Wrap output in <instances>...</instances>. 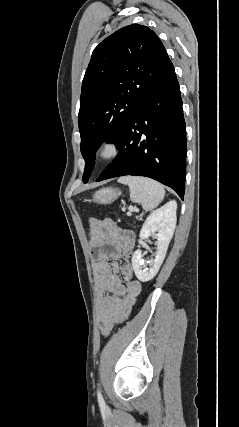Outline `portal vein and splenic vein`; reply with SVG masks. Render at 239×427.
<instances>
[{
	"label": "portal vein and splenic vein",
	"mask_w": 239,
	"mask_h": 427,
	"mask_svg": "<svg viewBox=\"0 0 239 427\" xmlns=\"http://www.w3.org/2000/svg\"><path fill=\"white\" fill-rule=\"evenodd\" d=\"M135 210H136V207H133V206H130V207H129V211H130V212H133V211H135ZM129 214H130V213H129Z\"/></svg>",
	"instance_id": "18ae733b"
}]
</instances>
